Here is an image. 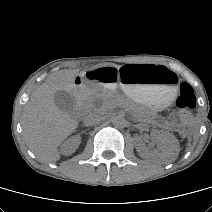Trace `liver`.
<instances>
[{
  "mask_svg": "<svg viewBox=\"0 0 212 212\" xmlns=\"http://www.w3.org/2000/svg\"><path fill=\"white\" fill-rule=\"evenodd\" d=\"M79 70H61L35 89L22 115L24 139L29 149L44 163L60 159L58 146L72 134L78 121L60 110L54 102L59 91L73 92Z\"/></svg>",
  "mask_w": 212,
  "mask_h": 212,
  "instance_id": "obj_1",
  "label": "liver"
}]
</instances>
